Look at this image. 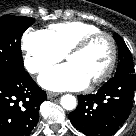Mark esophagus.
Returning a JSON list of instances; mask_svg holds the SVG:
<instances>
[{"label": "esophagus", "instance_id": "esophagus-1", "mask_svg": "<svg viewBox=\"0 0 136 136\" xmlns=\"http://www.w3.org/2000/svg\"><path fill=\"white\" fill-rule=\"evenodd\" d=\"M59 94L58 93H55V92H47V97L48 98H53V97H56V96H58Z\"/></svg>", "mask_w": 136, "mask_h": 136}]
</instances>
